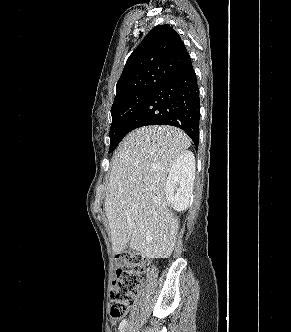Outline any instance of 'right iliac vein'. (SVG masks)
<instances>
[{
    "mask_svg": "<svg viewBox=\"0 0 291 332\" xmlns=\"http://www.w3.org/2000/svg\"><path fill=\"white\" fill-rule=\"evenodd\" d=\"M121 332H126V330H125V329H123Z\"/></svg>",
    "mask_w": 291,
    "mask_h": 332,
    "instance_id": "obj_1",
    "label": "right iliac vein"
}]
</instances>
